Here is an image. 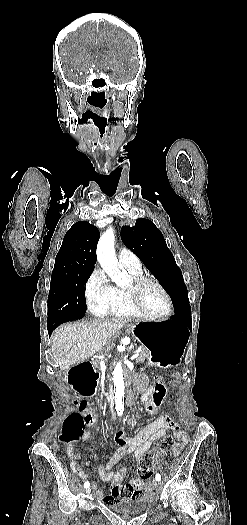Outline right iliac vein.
Masks as SVG:
<instances>
[{
  "label": "right iliac vein",
  "instance_id": "right-iliac-vein-1",
  "mask_svg": "<svg viewBox=\"0 0 247 525\" xmlns=\"http://www.w3.org/2000/svg\"><path fill=\"white\" fill-rule=\"evenodd\" d=\"M90 492H91V488L90 487L86 488V493L90 494Z\"/></svg>",
  "mask_w": 247,
  "mask_h": 525
}]
</instances>
